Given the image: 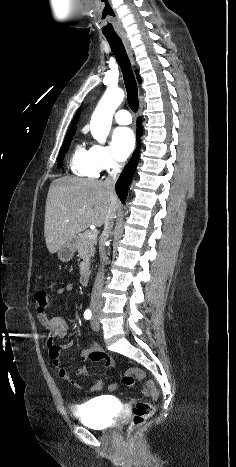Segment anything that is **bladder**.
<instances>
[{"instance_id": "obj_1", "label": "bladder", "mask_w": 236, "mask_h": 467, "mask_svg": "<svg viewBox=\"0 0 236 467\" xmlns=\"http://www.w3.org/2000/svg\"><path fill=\"white\" fill-rule=\"evenodd\" d=\"M114 408L112 400L107 397H96L74 408L75 416L91 428H108L113 425L107 409Z\"/></svg>"}]
</instances>
